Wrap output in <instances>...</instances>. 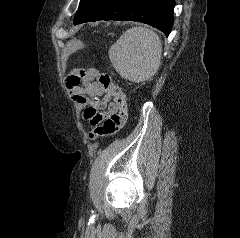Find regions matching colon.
Listing matches in <instances>:
<instances>
[{"label":"colon","instance_id":"colon-1","mask_svg":"<svg viewBox=\"0 0 240 238\" xmlns=\"http://www.w3.org/2000/svg\"><path fill=\"white\" fill-rule=\"evenodd\" d=\"M94 76L104 90L113 97L118 111L104 119L100 124L94 126L89 134L91 140L115 135L124 127L128 116L126 96L113 82L111 76L108 73L99 72L97 70H94Z\"/></svg>","mask_w":240,"mask_h":238}]
</instances>
